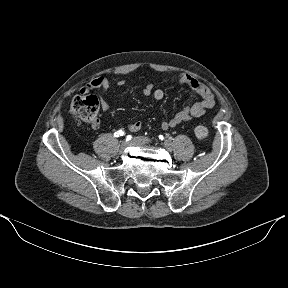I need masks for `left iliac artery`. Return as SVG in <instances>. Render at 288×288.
<instances>
[{
	"label": "left iliac artery",
	"mask_w": 288,
	"mask_h": 288,
	"mask_svg": "<svg viewBox=\"0 0 288 288\" xmlns=\"http://www.w3.org/2000/svg\"><path fill=\"white\" fill-rule=\"evenodd\" d=\"M159 138H160L161 140H163V139H164V137H163L162 135H159Z\"/></svg>",
	"instance_id": "44dca946"
}]
</instances>
